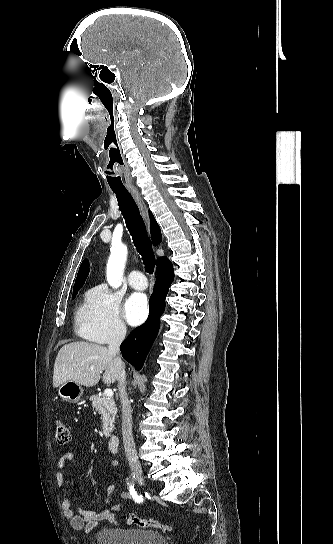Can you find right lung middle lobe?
I'll return each instance as SVG.
<instances>
[{"instance_id":"1","label":"right lung middle lobe","mask_w":333,"mask_h":544,"mask_svg":"<svg viewBox=\"0 0 333 544\" xmlns=\"http://www.w3.org/2000/svg\"><path fill=\"white\" fill-rule=\"evenodd\" d=\"M78 291H73V295H72V299L75 298V296L77 295Z\"/></svg>"}]
</instances>
